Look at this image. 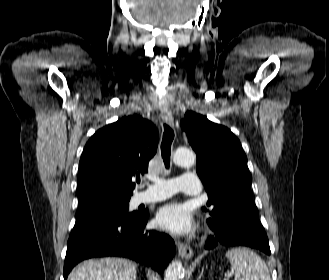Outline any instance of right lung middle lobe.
<instances>
[{"instance_id": "dd1d6c3e", "label": "right lung middle lobe", "mask_w": 329, "mask_h": 280, "mask_svg": "<svg viewBox=\"0 0 329 280\" xmlns=\"http://www.w3.org/2000/svg\"><path fill=\"white\" fill-rule=\"evenodd\" d=\"M129 197H107L95 196L84 199H79V210L77 219L87 216L97 210L101 209H115L126 212L130 216H136L137 212L128 213Z\"/></svg>"}]
</instances>
